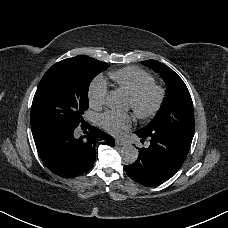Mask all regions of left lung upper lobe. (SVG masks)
Listing matches in <instances>:
<instances>
[{"instance_id":"5c2ea615","label":"left lung upper lobe","mask_w":228,"mask_h":228,"mask_svg":"<svg viewBox=\"0 0 228 228\" xmlns=\"http://www.w3.org/2000/svg\"><path fill=\"white\" fill-rule=\"evenodd\" d=\"M141 63L160 74L166 83L167 96L159 113L140 131L165 132L193 138V103L183 80L172 69L158 61L147 60Z\"/></svg>"}]
</instances>
